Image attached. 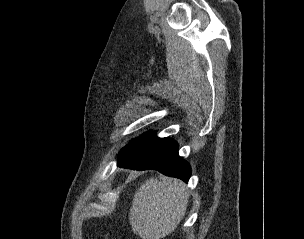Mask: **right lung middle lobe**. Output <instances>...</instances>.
Wrapping results in <instances>:
<instances>
[{"mask_svg": "<svg viewBox=\"0 0 304 239\" xmlns=\"http://www.w3.org/2000/svg\"><path fill=\"white\" fill-rule=\"evenodd\" d=\"M150 133H152V132H150ZM150 133H148V134H150ZM148 134H145V135H143L142 137H144V136H146V135H148ZM142 137H141V138H142ZM133 142H134V141H133ZM131 143H132V142H131ZM131 143H130V144H131ZM128 145H129V144H128ZM128 145H127V146H128Z\"/></svg>", "mask_w": 304, "mask_h": 239, "instance_id": "obj_1", "label": "right lung middle lobe"}]
</instances>
